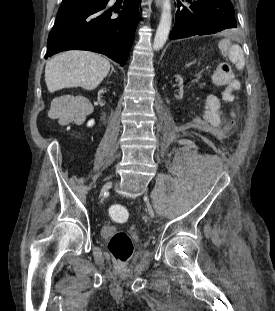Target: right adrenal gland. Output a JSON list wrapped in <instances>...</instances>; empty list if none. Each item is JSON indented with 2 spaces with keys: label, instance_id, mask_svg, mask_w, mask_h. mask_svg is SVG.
<instances>
[{
  "label": "right adrenal gland",
  "instance_id": "2a0ac1e0",
  "mask_svg": "<svg viewBox=\"0 0 275 311\" xmlns=\"http://www.w3.org/2000/svg\"><path fill=\"white\" fill-rule=\"evenodd\" d=\"M113 72L115 73V69H114L113 65H111V72H110L109 76H111V74H112Z\"/></svg>",
  "mask_w": 275,
  "mask_h": 311
}]
</instances>
